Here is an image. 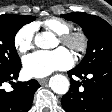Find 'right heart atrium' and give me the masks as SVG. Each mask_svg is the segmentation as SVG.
Here are the masks:
<instances>
[{
	"label": "right heart atrium",
	"instance_id": "1",
	"mask_svg": "<svg viewBox=\"0 0 112 112\" xmlns=\"http://www.w3.org/2000/svg\"><path fill=\"white\" fill-rule=\"evenodd\" d=\"M35 27L27 24L21 27L14 36V46L21 54L27 53L34 46Z\"/></svg>",
	"mask_w": 112,
	"mask_h": 112
}]
</instances>
